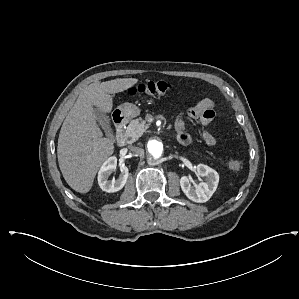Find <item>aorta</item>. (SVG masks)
Here are the masks:
<instances>
[{"label": "aorta", "instance_id": "762f6f07", "mask_svg": "<svg viewBox=\"0 0 299 299\" xmlns=\"http://www.w3.org/2000/svg\"><path fill=\"white\" fill-rule=\"evenodd\" d=\"M146 152L151 161L160 160L165 153V146L159 138H151L146 143Z\"/></svg>", "mask_w": 299, "mask_h": 299}]
</instances>
